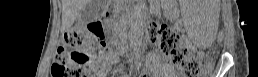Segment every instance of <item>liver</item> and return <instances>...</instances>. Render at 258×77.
Segmentation results:
<instances>
[{
    "mask_svg": "<svg viewBox=\"0 0 258 77\" xmlns=\"http://www.w3.org/2000/svg\"><path fill=\"white\" fill-rule=\"evenodd\" d=\"M90 0H62V28L68 29L80 17Z\"/></svg>",
    "mask_w": 258,
    "mask_h": 77,
    "instance_id": "6515ba94",
    "label": "liver"
}]
</instances>
